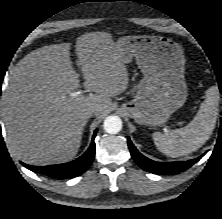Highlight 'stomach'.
I'll return each instance as SVG.
<instances>
[{
  "mask_svg": "<svg viewBox=\"0 0 222 219\" xmlns=\"http://www.w3.org/2000/svg\"><path fill=\"white\" fill-rule=\"evenodd\" d=\"M115 49L125 63L135 58L144 76L135 97L122 109L137 123L164 124L187 99L181 47L166 37L143 35L120 37Z\"/></svg>",
  "mask_w": 222,
  "mask_h": 219,
  "instance_id": "stomach-1",
  "label": "stomach"
}]
</instances>
